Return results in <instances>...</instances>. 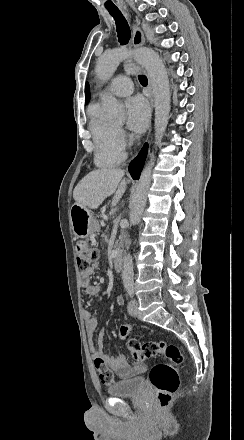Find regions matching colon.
<instances>
[{"mask_svg":"<svg viewBox=\"0 0 244 440\" xmlns=\"http://www.w3.org/2000/svg\"><path fill=\"white\" fill-rule=\"evenodd\" d=\"M75 252L76 264L80 269H84L89 263H94L99 256L98 250L94 247H89L84 240L76 242ZM121 327V334L123 337H126L129 333L128 330L130 331L132 326L130 324H123ZM125 344L132 358L137 363H141L146 358L154 356L164 357L169 362L176 364H181L184 360L183 353L178 346L167 344L163 340L142 345L135 340L126 339ZM94 363L103 382L114 383V374L108 368L106 361L102 358H96ZM150 379L156 389L157 409L167 410L171 397L179 385V378L176 372L166 363L153 365L151 367Z\"/></svg>","mask_w":244,"mask_h":440,"instance_id":"5ec220e1","label":"colon"}]
</instances>
